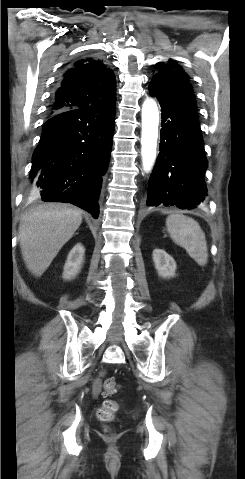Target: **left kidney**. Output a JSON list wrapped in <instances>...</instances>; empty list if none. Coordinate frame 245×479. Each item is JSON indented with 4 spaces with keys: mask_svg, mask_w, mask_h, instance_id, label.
<instances>
[{
    "mask_svg": "<svg viewBox=\"0 0 245 479\" xmlns=\"http://www.w3.org/2000/svg\"><path fill=\"white\" fill-rule=\"evenodd\" d=\"M155 268L159 276L170 278L175 276L176 262L162 249H155L152 254Z\"/></svg>",
    "mask_w": 245,
    "mask_h": 479,
    "instance_id": "left-kidney-1",
    "label": "left kidney"
}]
</instances>
